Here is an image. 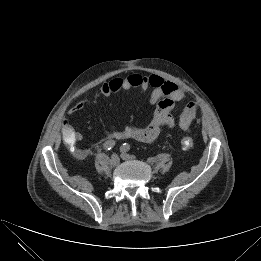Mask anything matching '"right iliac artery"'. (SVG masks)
Segmentation results:
<instances>
[{
  "label": "right iliac artery",
  "mask_w": 261,
  "mask_h": 261,
  "mask_svg": "<svg viewBox=\"0 0 261 261\" xmlns=\"http://www.w3.org/2000/svg\"><path fill=\"white\" fill-rule=\"evenodd\" d=\"M115 141L114 140H107L104 144H103V149L108 151L111 150L114 146H115Z\"/></svg>",
  "instance_id": "right-iliac-artery-1"
}]
</instances>
